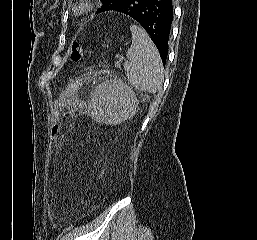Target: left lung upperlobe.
I'll return each mask as SVG.
<instances>
[{
	"label": "left lung upper lobe",
	"mask_w": 257,
	"mask_h": 240,
	"mask_svg": "<svg viewBox=\"0 0 257 240\" xmlns=\"http://www.w3.org/2000/svg\"><path fill=\"white\" fill-rule=\"evenodd\" d=\"M101 1L103 4L101 8L97 11V13L109 11L114 7L118 6L123 0H101Z\"/></svg>",
	"instance_id": "1"
}]
</instances>
